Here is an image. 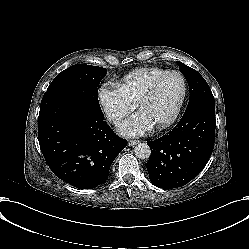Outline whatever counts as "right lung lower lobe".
I'll list each match as a JSON object with an SVG mask.
<instances>
[{
  "instance_id": "obj_1",
  "label": "right lung lower lobe",
  "mask_w": 249,
  "mask_h": 249,
  "mask_svg": "<svg viewBox=\"0 0 249 249\" xmlns=\"http://www.w3.org/2000/svg\"><path fill=\"white\" fill-rule=\"evenodd\" d=\"M101 110L87 107L78 92L48 91L41 101L38 137L50 169L78 187L91 188L108 170L127 140L116 138Z\"/></svg>"
}]
</instances>
